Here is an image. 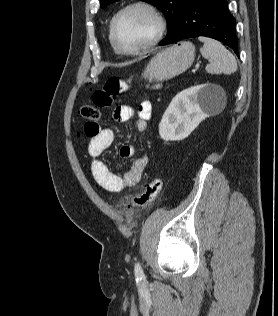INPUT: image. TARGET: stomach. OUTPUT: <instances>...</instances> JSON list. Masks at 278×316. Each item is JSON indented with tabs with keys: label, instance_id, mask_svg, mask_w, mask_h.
<instances>
[{
	"label": "stomach",
	"instance_id": "1",
	"mask_svg": "<svg viewBox=\"0 0 278 316\" xmlns=\"http://www.w3.org/2000/svg\"><path fill=\"white\" fill-rule=\"evenodd\" d=\"M195 47L182 42L158 52L146 66L142 76L149 81H164L185 72L193 63Z\"/></svg>",
	"mask_w": 278,
	"mask_h": 316
}]
</instances>
